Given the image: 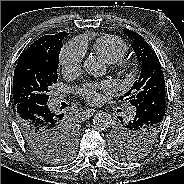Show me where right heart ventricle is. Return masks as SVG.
<instances>
[{"mask_svg": "<svg viewBox=\"0 0 184 184\" xmlns=\"http://www.w3.org/2000/svg\"><path fill=\"white\" fill-rule=\"evenodd\" d=\"M93 49L107 63L114 64L128 52V45L117 36L102 35L94 41Z\"/></svg>", "mask_w": 184, "mask_h": 184, "instance_id": "right-heart-ventricle-1", "label": "right heart ventricle"}]
</instances>
